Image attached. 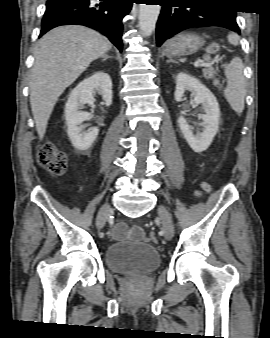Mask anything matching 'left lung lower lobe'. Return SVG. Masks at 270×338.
Instances as JSON below:
<instances>
[{"label":"left lung lower lobe","instance_id":"1","mask_svg":"<svg viewBox=\"0 0 270 338\" xmlns=\"http://www.w3.org/2000/svg\"><path fill=\"white\" fill-rule=\"evenodd\" d=\"M162 10L156 25L160 46L175 34L198 26H219L240 33L236 10L227 8L225 0H157Z\"/></svg>","mask_w":270,"mask_h":338}]
</instances>
